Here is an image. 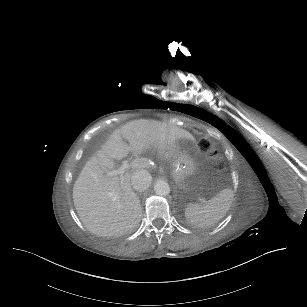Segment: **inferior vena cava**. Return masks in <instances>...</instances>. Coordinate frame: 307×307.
I'll return each instance as SVG.
<instances>
[{
    "mask_svg": "<svg viewBox=\"0 0 307 307\" xmlns=\"http://www.w3.org/2000/svg\"><path fill=\"white\" fill-rule=\"evenodd\" d=\"M151 181L152 176L145 169L134 171L131 176V185L136 191H144L148 189Z\"/></svg>",
    "mask_w": 307,
    "mask_h": 307,
    "instance_id": "obj_1",
    "label": "inferior vena cava"
}]
</instances>
